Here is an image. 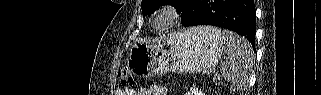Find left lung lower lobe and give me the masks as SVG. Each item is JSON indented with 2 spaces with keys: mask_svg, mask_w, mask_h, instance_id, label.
<instances>
[{
  "mask_svg": "<svg viewBox=\"0 0 321 95\" xmlns=\"http://www.w3.org/2000/svg\"><path fill=\"white\" fill-rule=\"evenodd\" d=\"M181 12L184 27L213 25L230 29L246 37L255 48L254 0H189Z\"/></svg>",
  "mask_w": 321,
  "mask_h": 95,
  "instance_id": "obj_1",
  "label": "left lung lower lobe"
}]
</instances>
